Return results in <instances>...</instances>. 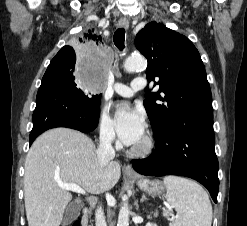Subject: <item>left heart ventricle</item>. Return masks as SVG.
<instances>
[{"label": "left heart ventricle", "instance_id": "left-heart-ventricle-1", "mask_svg": "<svg viewBox=\"0 0 247 226\" xmlns=\"http://www.w3.org/2000/svg\"><path fill=\"white\" fill-rule=\"evenodd\" d=\"M144 138H145V136H143V138L140 141H138L136 144H134L132 147H139V146H141L142 143L144 142Z\"/></svg>", "mask_w": 247, "mask_h": 226}]
</instances>
